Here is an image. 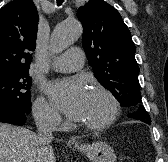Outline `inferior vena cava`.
I'll return each instance as SVG.
<instances>
[{"instance_id": "obj_1", "label": "inferior vena cava", "mask_w": 168, "mask_h": 162, "mask_svg": "<svg viewBox=\"0 0 168 162\" xmlns=\"http://www.w3.org/2000/svg\"><path fill=\"white\" fill-rule=\"evenodd\" d=\"M56 122L55 115L42 111L36 116V127L38 131V139L41 143L51 142L53 139L52 132Z\"/></svg>"}]
</instances>
